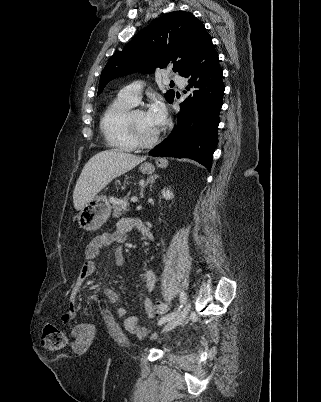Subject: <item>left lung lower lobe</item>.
I'll list each match as a JSON object with an SVG mask.
<instances>
[{"mask_svg": "<svg viewBox=\"0 0 321 402\" xmlns=\"http://www.w3.org/2000/svg\"><path fill=\"white\" fill-rule=\"evenodd\" d=\"M181 76L188 79L186 89H191L192 93L180 105L174 131L149 154L190 158L210 170L218 144L219 113L224 94L222 69L211 38Z\"/></svg>", "mask_w": 321, "mask_h": 402, "instance_id": "obj_1", "label": "left lung lower lobe"}]
</instances>
